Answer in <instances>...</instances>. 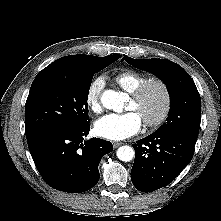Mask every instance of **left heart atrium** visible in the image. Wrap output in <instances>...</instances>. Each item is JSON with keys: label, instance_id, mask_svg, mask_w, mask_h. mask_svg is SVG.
Segmentation results:
<instances>
[{"label": "left heart atrium", "instance_id": "obj_1", "mask_svg": "<svg viewBox=\"0 0 221 221\" xmlns=\"http://www.w3.org/2000/svg\"><path fill=\"white\" fill-rule=\"evenodd\" d=\"M142 120L135 111L123 114H107L95 123V132L98 136L118 141L135 135L141 128Z\"/></svg>", "mask_w": 221, "mask_h": 221}]
</instances>
